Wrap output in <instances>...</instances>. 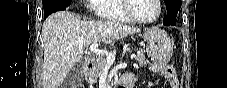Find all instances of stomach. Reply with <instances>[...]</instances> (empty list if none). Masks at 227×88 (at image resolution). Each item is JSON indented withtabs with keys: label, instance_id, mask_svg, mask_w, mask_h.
<instances>
[{
	"label": "stomach",
	"instance_id": "1",
	"mask_svg": "<svg viewBox=\"0 0 227 88\" xmlns=\"http://www.w3.org/2000/svg\"><path fill=\"white\" fill-rule=\"evenodd\" d=\"M146 42V52L155 64L154 69L165 66L173 53V44L168 34L159 28H152L143 34Z\"/></svg>",
	"mask_w": 227,
	"mask_h": 88
}]
</instances>
